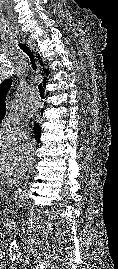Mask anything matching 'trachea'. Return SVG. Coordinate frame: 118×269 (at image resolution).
<instances>
[{
  "mask_svg": "<svg viewBox=\"0 0 118 269\" xmlns=\"http://www.w3.org/2000/svg\"><path fill=\"white\" fill-rule=\"evenodd\" d=\"M18 46L22 49L23 52H25L28 55V57L30 58V61H31L32 69L36 70L37 65H36V60H35V57H34L32 50L26 44L19 43ZM38 89H39L40 95H45V89H44V85H42V83H40L38 85Z\"/></svg>",
  "mask_w": 118,
  "mask_h": 269,
  "instance_id": "trachea-1",
  "label": "trachea"
}]
</instances>
